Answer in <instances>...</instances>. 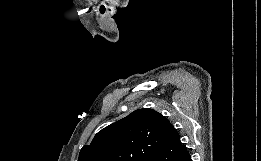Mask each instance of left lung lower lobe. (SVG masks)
Returning a JSON list of instances; mask_svg holds the SVG:
<instances>
[{"label":"left lung lower lobe","mask_w":261,"mask_h":161,"mask_svg":"<svg viewBox=\"0 0 261 161\" xmlns=\"http://www.w3.org/2000/svg\"><path fill=\"white\" fill-rule=\"evenodd\" d=\"M150 161H192L191 157L185 147L180 142L177 134L171 143L167 146L160 147Z\"/></svg>","instance_id":"1"}]
</instances>
